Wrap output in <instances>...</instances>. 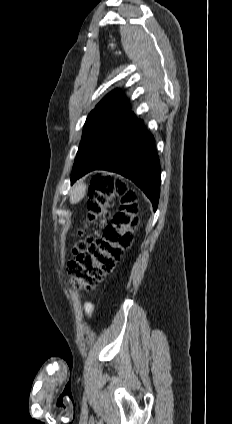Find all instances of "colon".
<instances>
[{"label": "colon", "instance_id": "5ec220e1", "mask_svg": "<svg viewBox=\"0 0 232 424\" xmlns=\"http://www.w3.org/2000/svg\"><path fill=\"white\" fill-rule=\"evenodd\" d=\"M87 193V225L102 222L108 216L114 197L121 203L111 222L103 225L99 234L76 243L73 258L68 262L67 271L74 286L90 291L113 270L131 245L138 225V196L125 182L110 175L94 176Z\"/></svg>", "mask_w": 232, "mask_h": 424}]
</instances>
